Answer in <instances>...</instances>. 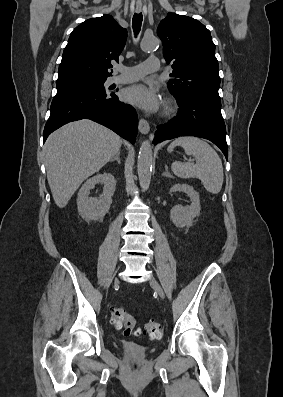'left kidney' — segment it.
Listing matches in <instances>:
<instances>
[{"label":"left kidney","instance_id":"1","mask_svg":"<svg viewBox=\"0 0 283 397\" xmlns=\"http://www.w3.org/2000/svg\"><path fill=\"white\" fill-rule=\"evenodd\" d=\"M170 192H184L190 197V206L176 205L170 211V219L177 227H190L194 218L200 214L199 194L188 184H175Z\"/></svg>","mask_w":283,"mask_h":397}]
</instances>
